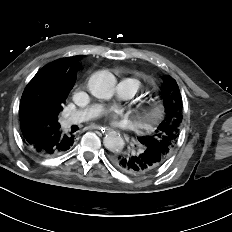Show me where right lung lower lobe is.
Wrapping results in <instances>:
<instances>
[{"mask_svg":"<svg viewBox=\"0 0 232 232\" xmlns=\"http://www.w3.org/2000/svg\"><path fill=\"white\" fill-rule=\"evenodd\" d=\"M22 137L28 148L36 155L50 157L69 150L75 141V136L65 134L60 126L55 128H39L30 117H20Z\"/></svg>","mask_w":232,"mask_h":232,"instance_id":"right-lung-lower-lobe-1","label":"right lung lower lobe"}]
</instances>
